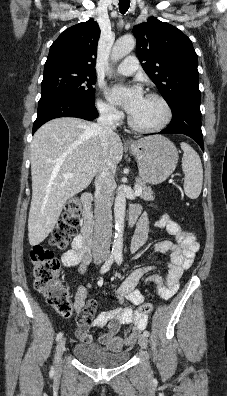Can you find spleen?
Instances as JSON below:
<instances>
[{
	"label": "spleen",
	"instance_id": "spleen-1",
	"mask_svg": "<svg viewBox=\"0 0 227 396\" xmlns=\"http://www.w3.org/2000/svg\"><path fill=\"white\" fill-rule=\"evenodd\" d=\"M181 148L184 152L182 157V170L185 175L184 191L191 198L199 197L203 183V169L199 155L187 143L182 142Z\"/></svg>",
	"mask_w": 227,
	"mask_h": 396
}]
</instances>
